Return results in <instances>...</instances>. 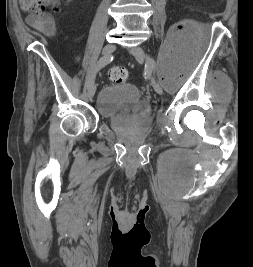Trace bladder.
Returning a JSON list of instances; mask_svg holds the SVG:
<instances>
[{
  "mask_svg": "<svg viewBox=\"0 0 253 267\" xmlns=\"http://www.w3.org/2000/svg\"><path fill=\"white\" fill-rule=\"evenodd\" d=\"M140 98L139 90L130 83L111 84L102 88L98 95L97 106L100 110H114L136 103Z\"/></svg>",
  "mask_w": 253,
  "mask_h": 267,
  "instance_id": "obj_1",
  "label": "bladder"
}]
</instances>
